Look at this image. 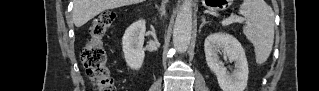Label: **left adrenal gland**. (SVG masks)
<instances>
[{
    "instance_id": "obj_1",
    "label": "left adrenal gland",
    "mask_w": 319,
    "mask_h": 91,
    "mask_svg": "<svg viewBox=\"0 0 319 91\" xmlns=\"http://www.w3.org/2000/svg\"><path fill=\"white\" fill-rule=\"evenodd\" d=\"M208 23V21H206V19H205V17L204 16H202V23H201V25H200V30H201V28L205 25V24H207Z\"/></svg>"
}]
</instances>
